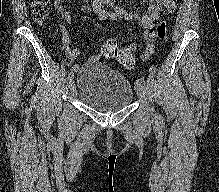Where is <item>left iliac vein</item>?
<instances>
[{"mask_svg":"<svg viewBox=\"0 0 219 192\" xmlns=\"http://www.w3.org/2000/svg\"><path fill=\"white\" fill-rule=\"evenodd\" d=\"M136 90L140 98L152 102V91L149 82L138 80L136 83Z\"/></svg>","mask_w":219,"mask_h":192,"instance_id":"1","label":"left iliac vein"}]
</instances>
